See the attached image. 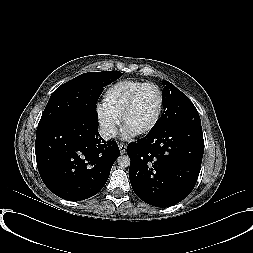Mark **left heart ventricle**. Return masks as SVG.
<instances>
[{
  "instance_id": "1",
  "label": "left heart ventricle",
  "mask_w": 253,
  "mask_h": 253,
  "mask_svg": "<svg viewBox=\"0 0 253 253\" xmlns=\"http://www.w3.org/2000/svg\"><path fill=\"white\" fill-rule=\"evenodd\" d=\"M159 105V94L154 87H146L126 117L125 126L133 132L146 128L153 120Z\"/></svg>"
}]
</instances>
